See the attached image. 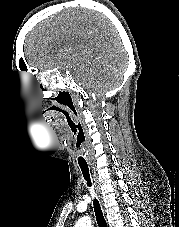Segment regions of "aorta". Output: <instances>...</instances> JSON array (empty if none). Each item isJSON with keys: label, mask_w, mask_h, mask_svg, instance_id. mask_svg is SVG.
Here are the masks:
<instances>
[{"label": "aorta", "mask_w": 179, "mask_h": 227, "mask_svg": "<svg viewBox=\"0 0 179 227\" xmlns=\"http://www.w3.org/2000/svg\"><path fill=\"white\" fill-rule=\"evenodd\" d=\"M74 227H93L91 218L88 216L81 217Z\"/></svg>", "instance_id": "aorta-1"}]
</instances>
